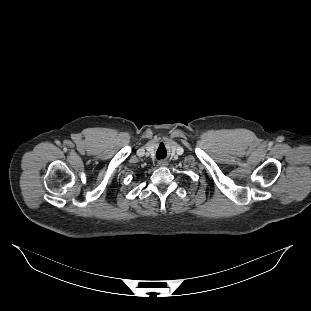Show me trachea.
Returning a JSON list of instances; mask_svg holds the SVG:
<instances>
[{"label": "trachea", "mask_w": 311, "mask_h": 311, "mask_svg": "<svg viewBox=\"0 0 311 311\" xmlns=\"http://www.w3.org/2000/svg\"><path fill=\"white\" fill-rule=\"evenodd\" d=\"M162 157H163V156H161V155H157V158H158V159H160V158H162Z\"/></svg>", "instance_id": "3493384b"}]
</instances>
